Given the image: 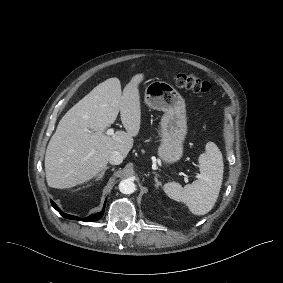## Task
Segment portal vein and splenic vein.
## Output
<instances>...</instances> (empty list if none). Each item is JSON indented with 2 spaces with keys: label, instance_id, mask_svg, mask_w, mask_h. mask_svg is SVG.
Masks as SVG:
<instances>
[{
  "label": "portal vein and splenic vein",
  "instance_id": "portal-vein-and-splenic-vein-1",
  "mask_svg": "<svg viewBox=\"0 0 283 283\" xmlns=\"http://www.w3.org/2000/svg\"><path fill=\"white\" fill-rule=\"evenodd\" d=\"M107 135H113L114 134V131L113 129H108L107 132H106Z\"/></svg>",
  "mask_w": 283,
  "mask_h": 283
}]
</instances>
